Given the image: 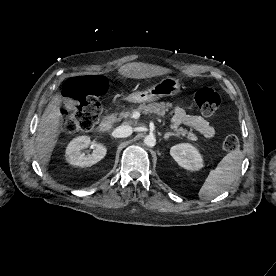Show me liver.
Returning <instances> with one entry per match:
<instances>
[{
    "mask_svg": "<svg viewBox=\"0 0 276 276\" xmlns=\"http://www.w3.org/2000/svg\"><path fill=\"white\" fill-rule=\"evenodd\" d=\"M118 72L124 78L144 79L171 73V70L161 66L133 62L121 66ZM63 99L60 93L52 98L38 125L35 148L38 160L43 166L50 161L51 154L60 135V126L62 122L60 105Z\"/></svg>",
    "mask_w": 276,
    "mask_h": 276,
    "instance_id": "obj_1",
    "label": "liver"
}]
</instances>
